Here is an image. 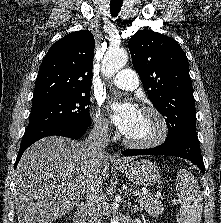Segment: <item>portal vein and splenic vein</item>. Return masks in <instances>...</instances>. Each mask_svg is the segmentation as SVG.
Instances as JSON below:
<instances>
[{
  "instance_id": "1",
  "label": "portal vein and splenic vein",
  "mask_w": 221,
  "mask_h": 223,
  "mask_svg": "<svg viewBox=\"0 0 221 223\" xmlns=\"http://www.w3.org/2000/svg\"><path fill=\"white\" fill-rule=\"evenodd\" d=\"M131 194H133L134 196H136L137 195V193H134V192H132ZM146 195V194H145Z\"/></svg>"
}]
</instances>
